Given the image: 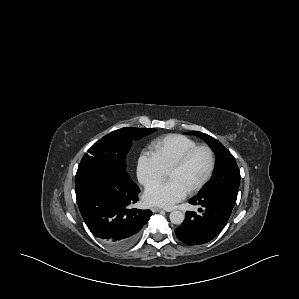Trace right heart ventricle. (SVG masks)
Segmentation results:
<instances>
[{
  "mask_svg": "<svg viewBox=\"0 0 299 299\" xmlns=\"http://www.w3.org/2000/svg\"><path fill=\"white\" fill-rule=\"evenodd\" d=\"M197 142L182 134H169L152 142L153 153L167 172Z\"/></svg>",
  "mask_w": 299,
  "mask_h": 299,
  "instance_id": "obj_1",
  "label": "right heart ventricle"
}]
</instances>
